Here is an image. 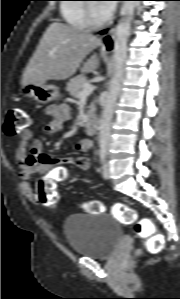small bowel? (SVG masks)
Wrapping results in <instances>:
<instances>
[{
	"label": "small bowel",
	"instance_id": "obj_1",
	"mask_svg": "<svg viewBox=\"0 0 180 299\" xmlns=\"http://www.w3.org/2000/svg\"><path fill=\"white\" fill-rule=\"evenodd\" d=\"M46 113L50 118L45 127L47 135L58 133L63 124L71 118V109L65 104H51L47 107ZM92 148L93 141L89 138L81 140L78 144V149L83 152L90 151ZM16 159L20 169L22 191L34 203L38 202V192L34 191L31 185L33 176H43L46 179L39 181V188L46 181L64 180L71 167L81 171H87L90 168V160L86 157L60 158L47 155L43 152L41 142L33 138L29 129H24L21 132L16 149Z\"/></svg>",
	"mask_w": 180,
	"mask_h": 299
}]
</instances>
